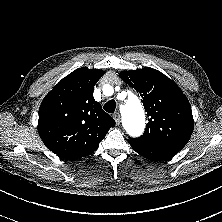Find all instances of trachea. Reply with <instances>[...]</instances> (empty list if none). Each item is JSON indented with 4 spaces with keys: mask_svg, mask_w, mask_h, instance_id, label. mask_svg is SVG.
<instances>
[{
    "mask_svg": "<svg viewBox=\"0 0 222 222\" xmlns=\"http://www.w3.org/2000/svg\"><path fill=\"white\" fill-rule=\"evenodd\" d=\"M103 108L108 113H114L116 109V103L114 100H109L107 103H105Z\"/></svg>",
    "mask_w": 222,
    "mask_h": 222,
    "instance_id": "trachea-1",
    "label": "trachea"
}]
</instances>
